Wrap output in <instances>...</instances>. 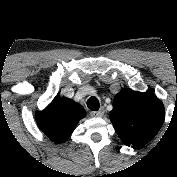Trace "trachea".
Masks as SVG:
<instances>
[{
    "label": "trachea",
    "mask_w": 177,
    "mask_h": 177,
    "mask_svg": "<svg viewBox=\"0 0 177 177\" xmlns=\"http://www.w3.org/2000/svg\"><path fill=\"white\" fill-rule=\"evenodd\" d=\"M87 106L92 111H98L100 108V103L97 97L92 96L87 100Z\"/></svg>",
    "instance_id": "obj_1"
}]
</instances>
